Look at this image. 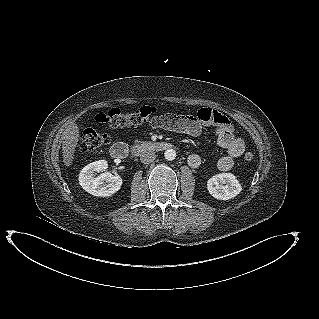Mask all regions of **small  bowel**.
I'll list each match as a JSON object with an SVG mask.
<instances>
[{
    "instance_id": "1",
    "label": "small bowel",
    "mask_w": 319,
    "mask_h": 319,
    "mask_svg": "<svg viewBox=\"0 0 319 319\" xmlns=\"http://www.w3.org/2000/svg\"><path fill=\"white\" fill-rule=\"evenodd\" d=\"M97 120L100 121L99 116ZM151 125L154 128H163L192 137L200 136L206 127H213L217 143L227 152L217 162V167L221 171L232 169L236 158L245 150L244 140L236 135L235 128L228 118L210 108L199 110L197 116L167 114L154 118ZM201 163L202 159L196 153L188 157V164L192 168H198Z\"/></svg>"
}]
</instances>
